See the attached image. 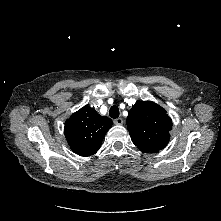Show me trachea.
Listing matches in <instances>:
<instances>
[{
    "label": "trachea",
    "instance_id": "1",
    "mask_svg": "<svg viewBox=\"0 0 221 221\" xmlns=\"http://www.w3.org/2000/svg\"><path fill=\"white\" fill-rule=\"evenodd\" d=\"M119 108L117 106H112L109 110V115L111 118L116 119L119 117Z\"/></svg>",
    "mask_w": 221,
    "mask_h": 221
}]
</instances>
